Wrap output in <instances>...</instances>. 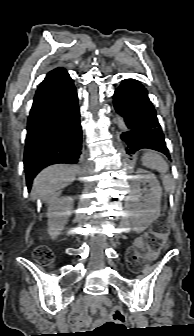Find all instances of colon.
<instances>
[{"label": "colon", "instance_id": "obj_1", "mask_svg": "<svg viewBox=\"0 0 194 336\" xmlns=\"http://www.w3.org/2000/svg\"><path fill=\"white\" fill-rule=\"evenodd\" d=\"M169 227L164 221H158L155 227L146 235V246L148 257L156 256L165 245ZM35 259L43 265H52L54 262L53 253L45 246H38L34 251ZM143 255L136 249H131L127 256V262L133 269L137 268ZM126 316L120 306L111 309L109 319L95 331L91 336H108L117 333L125 328Z\"/></svg>", "mask_w": 194, "mask_h": 336}]
</instances>
